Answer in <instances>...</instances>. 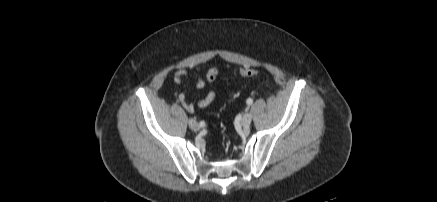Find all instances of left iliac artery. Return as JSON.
Instances as JSON below:
<instances>
[{"mask_svg": "<svg viewBox=\"0 0 437 202\" xmlns=\"http://www.w3.org/2000/svg\"><path fill=\"white\" fill-rule=\"evenodd\" d=\"M246 102L248 105H251L253 103V100L251 98H248Z\"/></svg>", "mask_w": 437, "mask_h": 202, "instance_id": "obj_1", "label": "left iliac artery"}]
</instances>
